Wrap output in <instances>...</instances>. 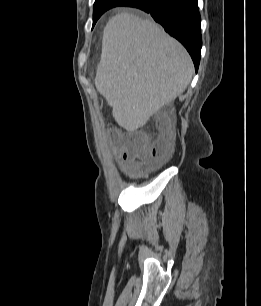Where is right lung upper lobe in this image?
<instances>
[{
  "label": "right lung upper lobe",
  "instance_id": "right-lung-upper-lobe-1",
  "mask_svg": "<svg viewBox=\"0 0 261 306\" xmlns=\"http://www.w3.org/2000/svg\"><path fill=\"white\" fill-rule=\"evenodd\" d=\"M101 1H106V0H96L94 4L99 3ZM129 1V0H128Z\"/></svg>",
  "mask_w": 261,
  "mask_h": 306
}]
</instances>
